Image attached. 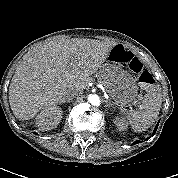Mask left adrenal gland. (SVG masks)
Here are the masks:
<instances>
[{
  "label": "left adrenal gland",
  "mask_w": 178,
  "mask_h": 178,
  "mask_svg": "<svg viewBox=\"0 0 178 178\" xmlns=\"http://www.w3.org/2000/svg\"><path fill=\"white\" fill-rule=\"evenodd\" d=\"M106 103H107V106H108V107H114V106H115L114 104H112V103L109 102V101H106Z\"/></svg>",
  "instance_id": "1"
}]
</instances>
